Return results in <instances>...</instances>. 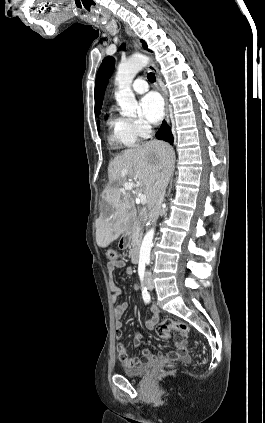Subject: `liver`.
<instances>
[{"mask_svg": "<svg viewBox=\"0 0 265 423\" xmlns=\"http://www.w3.org/2000/svg\"><path fill=\"white\" fill-rule=\"evenodd\" d=\"M174 165V152L163 141H150L125 149L108 166L109 185L103 202L112 210L111 216L100 217L96 223V242L107 247L126 230V210L133 207L132 190H123L128 181L139 184L136 193L147 197L148 208H153L165 190ZM116 184V186H113Z\"/></svg>", "mask_w": 265, "mask_h": 423, "instance_id": "obj_1", "label": "liver"}]
</instances>
